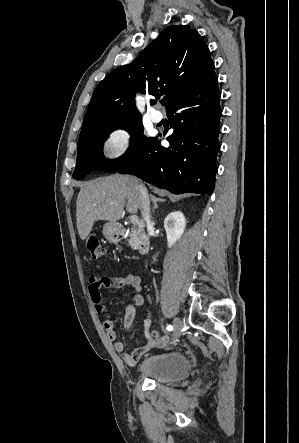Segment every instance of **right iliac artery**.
Listing matches in <instances>:
<instances>
[{
	"label": "right iliac artery",
	"mask_w": 299,
	"mask_h": 443,
	"mask_svg": "<svg viewBox=\"0 0 299 443\" xmlns=\"http://www.w3.org/2000/svg\"><path fill=\"white\" fill-rule=\"evenodd\" d=\"M166 329H167L168 331H172V330H173V326H172V325H168V326L166 327Z\"/></svg>",
	"instance_id": "82829eb1"
}]
</instances>
